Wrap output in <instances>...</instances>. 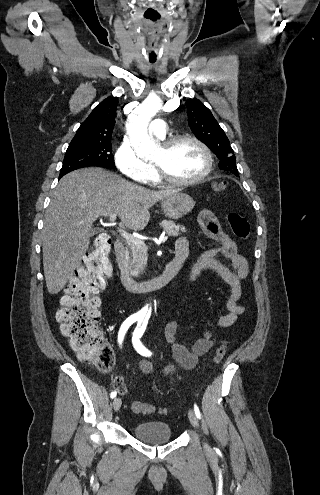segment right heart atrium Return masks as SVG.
<instances>
[{"label": "right heart atrium", "mask_w": 320, "mask_h": 495, "mask_svg": "<svg viewBox=\"0 0 320 495\" xmlns=\"http://www.w3.org/2000/svg\"><path fill=\"white\" fill-rule=\"evenodd\" d=\"M115 162L123 175L141 183L155 180L156 174L152 166L138 157L130 141L124 139L115 153Z\"/></svg>", "instance_id": "d8ad5b80"}]
</instances>
